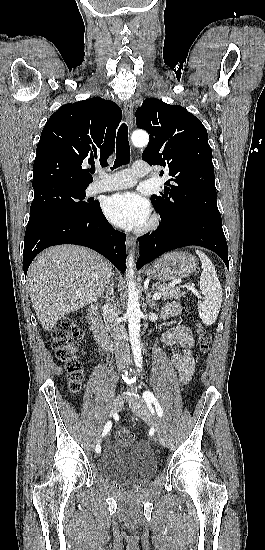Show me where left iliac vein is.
Instances as JSON below:
<instances>
[{
	"mask_svg": "<svg viewBox=\"0 0 265 550\" xmlns=\"http://www.w3.org/2000/svg\"><path fill=\"white\" fill-rule=\"evenodd\" d=\"M131 408H132V411H133L137 416H139L140 418H142L144 421L153 424L151 414H150V412H149V410H148V408H147L145 402H144L142 399H138L137 401L133 402L132 405H131ZM156 433H157L159 442H160L162 445H165V441H164L162 435L160 434L158 428H156Z\"/></svg>",
	"mask_w": 265,
	"mask_h": 550,
	"instance_id": "left-iliac-vein-1",
	"label": "left iliac vein"
}]
</instances>
